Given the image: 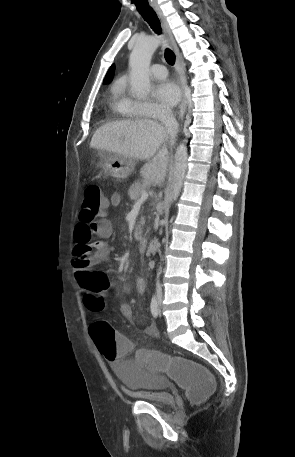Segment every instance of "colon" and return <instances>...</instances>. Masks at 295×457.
<instances>
[{"label":"colon","instance_id":"1","mask_svg":"<svg viewBox=\"0 0 295 457\" xmlns=\"http://www.w3.org/2000/svg\"><path fill=\"white\" fill-rule=\"evenodd\" d=\"M108 202L104 198L98 184H89L84 193V199L79 211L82 223L90 224L108 211ZM87 246H79L75 249L74 265L83 268L87 264ZM110 290V277L106 273L87 271V292L84 300L87 308L92 312H98L104 305L102 292ZM90 333L94 343L98 347V354L103 359L112 360L114 363H125L133 354L132 341H128L125 330H114L104 319H96ZM136 353L144 363V372H159V369L170 370L174 383H178V390H186L187 398L194 403L201 402L209 396L211 390H215L213 374H208V369H202V363H186L185 357H175L174 352L160 351L159 346H137ZM166 359V365H160V360Z\"/></svg>","mask_w":295,"mask_h":457}]
</instances>
